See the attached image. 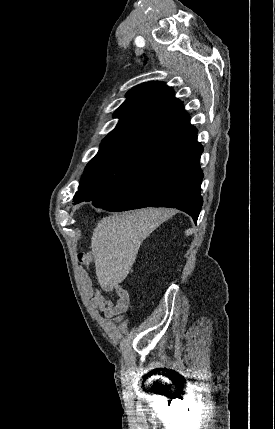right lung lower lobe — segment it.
Wrapping results in <instances>:
<instances>
[{
    "label": "right lung lower lobe",
    "mask_w": 275,
    "mask_h": 429,
    "mask_svg": "<svg viewBox=\"0 0 275 429\" xmlns=\"http://www.w3.org/2000/svg\"><path fill=\"white\" fill-rule=\"evenodd\" d=\"M202 152L196 134L175 143L146 160L134 174L92 204L108 211L172 207L196 222L203 204V172L199 165Z\"/></svg>",
    "instance_id": "right-lung-lower-lobe-1"
}]
</instances>
